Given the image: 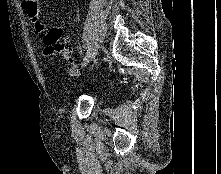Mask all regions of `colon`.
Returning <instances> with one entry per match:
<instances>
[{
	"label": "colon",
	"mask_w": 221,
	"mask_h": 174,
	"mask_svg": "<svg viewBox=\"0 0 221 174\" xmlns=\"http://www.w3.org/2000/svg\"><path fill=\"white\" fill-rule=\"evenodd\" d=\"M49 40L55 43L54 51L57 54L62 55L70 63L73 62L72 57L70 56L69 48L67 47L65 40L62 39V33L58 29H52L48 34Z\"/></svg>",
	"instance_id": "1"
}]
</instances>
